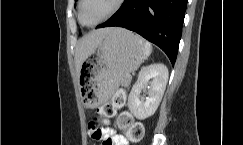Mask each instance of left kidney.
Segmentation results:
<instances>
[{
  "instance_id": "left-kidney-1",
  "label": "left kidney",
  "mask_w": 243,
  "mask_h": 145,
  "mask_svg": "<svg viewBox=\"0 0 243 145\" xmlns=\"http://www.w3.org/2000/svg\"><path fill=\"white\" fill-rule=\"evenodd\" d=\"M167 81L168 69L164 64H154L141 69L137 82L128 97V108L138 120H144L155 113L163 97ZM149 84L150 87H148ZM147 87L149 88L148 98L140 100L142 90Z\"/></svg>"
}]
</instances>
